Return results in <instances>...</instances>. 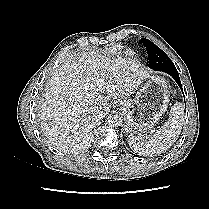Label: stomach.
<instances>
[{"mask_svg": "<svg viewBox=\"0 0 209 209\" xmlns=\"http://www.w3.org/2000/svg\"><path fill=\"white\" fill-rule=\"evenodd\" d=\"M125 114L126 133H146L154 128L169 104V86L160 76H151L137 92L135 100L120 102Z\"/></svg>", "mask_w": 209, "mask_h": 209, "instance_id": "obj_1", "label": "stomach"}]
</instances>
